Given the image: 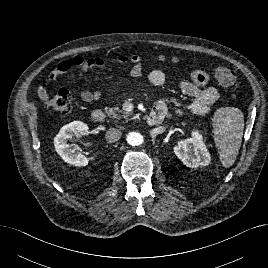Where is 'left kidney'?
<instances>
[{
    "mask_svg": "<svg viewBox=\"0 0 268 268\" xmlns=\"http://www.w3.org/2000/svg\"><path fill=\"white\" fill-rule=\"evenodd\" d=\"M175 155L190 168L207 166L211 161L210 153L198 131L192 132V137L179 141L174 147Z\"/></svg>",
    "mask_w": 268,
    "mask_h": 268,
    "instance_id": "left-kidney-1",
    "label": "left kidney"
}]
</instances>
